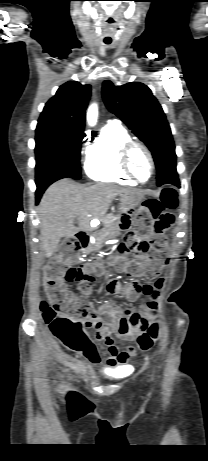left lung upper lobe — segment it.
<instances>
[{
	"instance_id": "obj_1",
	"label": "left lung upper lobe",
	"mask_w": 208,
	"mask_h": 461,
	"mask_svg": "<svg viewBox=\"0 0 208 461\" xmlns=\"http://www.w3.org/2000/svg\"><path fill=\"white\" fill-rule=\"evenodd\" d=\"M102 95L109 111L123 120L152 152L157 168V185L176 176V154L171 130L151 90L139 82L115 86L106 80Z\"/></svg>"
}]
</instances>
